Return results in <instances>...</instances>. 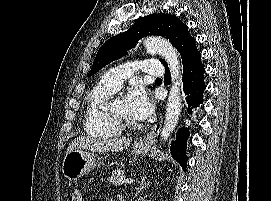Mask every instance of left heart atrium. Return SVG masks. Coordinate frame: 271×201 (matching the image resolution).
<instances>
[{"label":"left heart atrium","instance_id":"1","mask_svg":"<svg viewBox=\"0 0 271 201\" xmlns=\"http://www.w3.org/2000/svg\"><path fill=\"white\" fill-rule=\"evenodd\" d=\"M128 114L136 121L147 119L154 110V102L140 85L134 86L124 99Z\"/></svg>","mask_w":271,"mask_h":201}]
</instances>
